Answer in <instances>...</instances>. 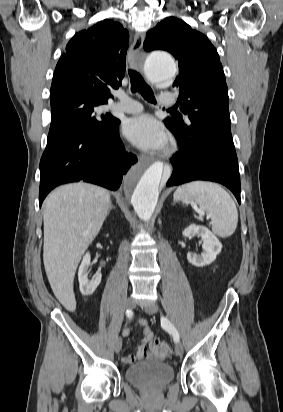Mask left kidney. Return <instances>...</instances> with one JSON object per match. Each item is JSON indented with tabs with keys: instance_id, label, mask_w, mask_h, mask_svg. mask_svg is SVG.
<instances>
[{
	"instance_id": "left-kidney-1",
	"label": "left kidney",
	"mask_w": 283,
	"mask_h": 412,
	"mask_svg": "<svg viewBox=\"0 0 283 412\" xmlns=\"http://www.w3.org/2000/svg\"><path fill=\"white\" fill-rule=\"evenodd\" d=\"M183 236L199 235L203 240V252L199 255L189 252L187 254L188 261L197 267H203L211 264L216 256L221 252L222 244L218 238L206 227L190 225L183 231Z\"/></svg>"
}]
</instances>
